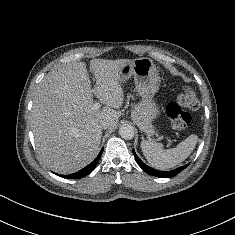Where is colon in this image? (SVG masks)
Instances as JSON below:
<instances>
[{"label":"colon","mask_w":235,"mask_h":235,"mask_svg":"<svg viewBox=\"0 0 235 235\" xmlns=\"http://www.w3.org/2000/svg\"><path fill=\"white\" fill-rule=\"evenodd\" d=\"M199 107V101L192 88L186 87L177 96L176 100L167 106L166 113L172 126L180 131L187 130L192 124V117L186 111L196 110Z\"/></svg>","instance_id":"5ec220e1"}]
</instances>
